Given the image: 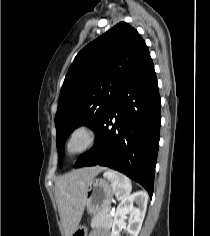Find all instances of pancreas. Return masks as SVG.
Returning <instances> with one entry per match:
<instances>
[{
	"label": "pancreas",
	"mask_w": 210,
	"mask_h": 236,
	"mask_svg": "<svg viewBox=\"0 0 210 236\" xmlns=\"http://www.w3.org/2000/svg\"><path fill=\"white\" fill-rule=\"evenodd\" d=\"M112 222L113 216L108 211H104L93 217L91 227L110 228L112 226Z\"/></svg>",
	"instance_id": "pancreas-1"
}]
</instances>
